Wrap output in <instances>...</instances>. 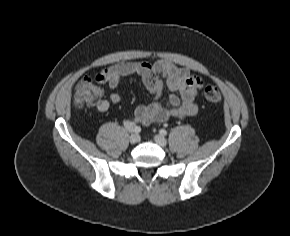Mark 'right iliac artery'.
<instances>
[{"mask_svg": "<svg viewBox=\"0 0 290 236\" xmlns=\"http://www.w3.org/2000/svg\"><path fill=\"white\" fill-rule=\"evenodd\" d=\"M135 133H140L141 128L139 126H136L135 130H133Z\"/></svg>", "mask_w": 290, "mask_h": 236, "instance_id": "82829eb1", "label": "right iliac artery"}]
</instances>
